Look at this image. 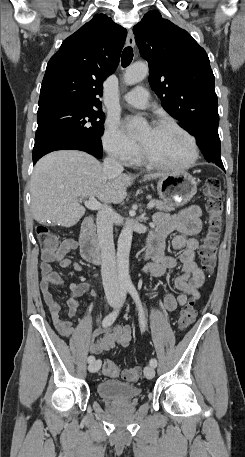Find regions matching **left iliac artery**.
I'll use <instances>...</instances> for the list:
<instances>
[{
	"instance_id": "left-iliac-artery-1",
	"label": "left iliac artery",
	"mask_w": 245,
	"mask_h": 457,
	"mask_svg": "<svg viewBox=\"0 0 245 457\" xmlns=\"http://www.w3.org/2000/svg\"><path fill=\"white\" fill-rule=\"evenodd\" d=\"M127 290L129 292V294L131 295V297L133 298V300L135 301L136 306L138 308L139 324H140L141 331H145L146 319H145V313L143 310V306H142V302L140 300L139 294H138L136 288L134 287V285L127 286ZM150 366H152V367L157 366V360L155 358H152L150 360Z\"/></svg>"
}]
</instances>
